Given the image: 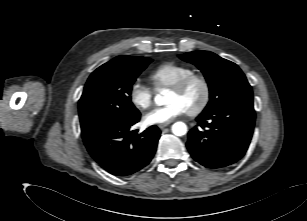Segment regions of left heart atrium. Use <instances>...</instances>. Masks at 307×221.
I'll return each instance as SVG.
<instances>
[{
	"instance_id": "1",
	"label": "left heart atrium",
	"mask_w": 307,
	"mask_h": 221,
	"mask_svg": "<svg viewBox=\"0 0 307 221\" xmlns=\"http://www.w3.org/2000/svg\"><path fill=\"white\" fill-rule=\"evenodd\" d=\"M185 112V108L179 102L173 101L165 106L155 108L148 112L144 116V121L148 125L165 124L171 122Z\"/></svg>"
}]
</instances>
